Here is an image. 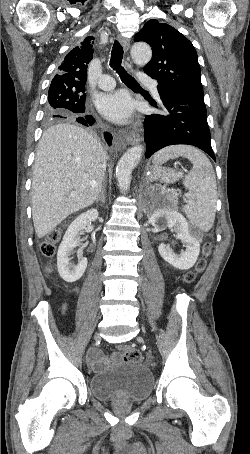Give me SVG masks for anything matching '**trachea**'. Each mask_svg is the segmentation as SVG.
I'll return each mask as SVG.
<instances>
[{"instance_id":"1","label":"trachea","mask_w":250,"mask_h":454,"mask_svg":"<svg viewBox=\"0 0 250 454\" xmlns=\"http://www.w3.org/2000/svg\"><path fill=\"white\" fill-rule=\"evenodd\" d=\"M122 59H123V47L121 44L116 40L113 44V48L111 51V58H110V66L113 70H116L119 74L123 83L128 86H137L139 84L136 83L133 77H131L125 69L122 67Z\"/></svg>"}]
</instances>
